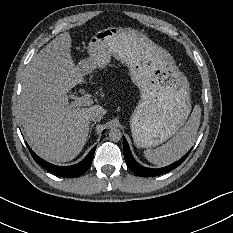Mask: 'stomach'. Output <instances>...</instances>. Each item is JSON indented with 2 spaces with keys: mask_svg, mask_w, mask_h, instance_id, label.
Segmentation results:
<instances>
[{
  "mask_svg": "<svg viewBox=\"0 0 233 233\" xmlns=\"http://www.w3.org/2000/svg\"><path fill=\"white\" fill-rule=\"evenodd\" d=\"M88 57L78 63L83 76L104 69L111 58L125 64L140 100L130 117L138 148L158 146L176 134L191 111L187 77L172 56L142 32L122 27L97 31L89 40Z\"/></svg>",
  "mask_w": 233,
  "mask_h": 233,
  "instance_id": "obj_1",
  "label": "stomach"
}]
</instances>
